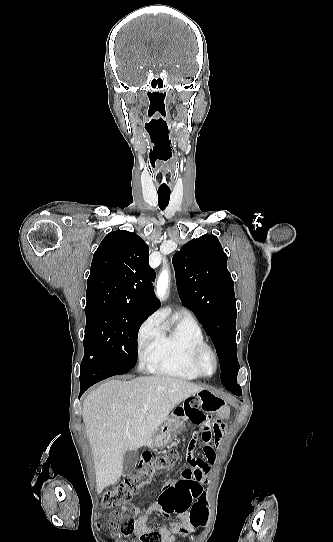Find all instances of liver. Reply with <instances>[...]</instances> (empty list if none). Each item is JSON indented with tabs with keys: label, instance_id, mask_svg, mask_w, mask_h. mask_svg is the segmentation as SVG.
Masks as SVG:
<instances>
[{
	"label": "liver",
	"instance_id": "6515ba94",
	"mask_svg": "<svg viewBox=\"0 0 333 542\" xmlns=\"http://www.w3.org/2000/svg\"><path fill=\"white\" fill-rule=\"evenodd\" d=\"M206 388L174 376H143L131 382L110 380L83 402V420L92 448L96 492L123 476V458L145 446L173 408ZM144 406H148L144 414Z\"/></svg>",
	"mask_w": 333,
	"mask_h": 542
}]
</instances>
